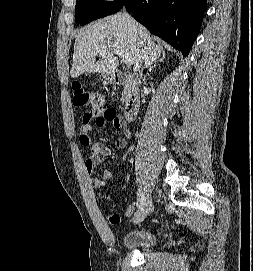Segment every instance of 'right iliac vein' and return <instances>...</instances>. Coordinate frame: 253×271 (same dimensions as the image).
<instances>
[{
    "instance_id": "63e3f726",
    "label": "right iliac vein",
    "mask_w": 253,
    "mask_h": 271,
    "mask_svg": "<svg viewBox=\"0 0 253 271\" xmlns=\"http://www.w3.org/2000/svg\"><path fill=\"white\" fill-rule=\"evenodd\" d=\"M151 205H152L151 196L149 193H147L146 196L144 197L143 203L140 205L138 211L135 214L134 223L136 224L140 223L146 218V216L149 214L151 210Z\"/></svg>"
}]
</instances>
